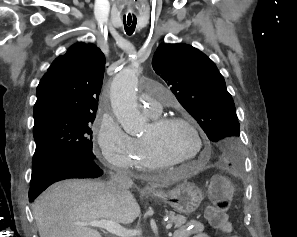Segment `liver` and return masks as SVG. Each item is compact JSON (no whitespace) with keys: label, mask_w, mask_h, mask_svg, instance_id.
Masks as SVG:
<instances>
[{"label":"liver","mask_w":297,"mask_h":237,"mask_svg":"<svg viewBox=\"0 0 297 237\" xmlns=\"http://www.w3.org/2000/svg\"><path fill=\"white\" fill-rule=\"evenodd\" d=\"M32 209L40 237H101L83 224L100 220L130 224L141 213L131 193L119 196L110 183L81 179L50 186Z\"/></svg>","instance_id":"1"}]
</instances>
